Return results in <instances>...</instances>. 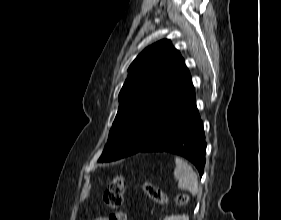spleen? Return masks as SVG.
Returning <instances> with one entry per match:
<instances>
[{
	"instance_id": "spleen-1",
	"label": "spleen",
	"mask_w": 281,
	"mask_h": 220,
	"mask_svg": "<svg viewBox=\"0 0 281 220\" xmlns=\"http://www.w3.org/2000/svg\"><path fill=\"white\" fill-rule=\"evenodd\" d=\"M174 175L178 179V187L188 190L192 195H196L199 191L198 178L192 167L179 157H175Z\"/></svg>"
}]
</instances>
